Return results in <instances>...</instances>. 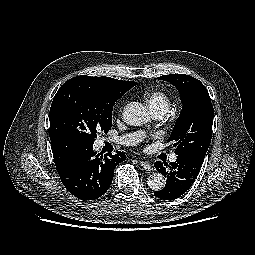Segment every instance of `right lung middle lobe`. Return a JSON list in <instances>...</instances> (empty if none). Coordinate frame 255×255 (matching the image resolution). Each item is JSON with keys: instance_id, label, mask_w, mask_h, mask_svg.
<instances>
[{"instance_id": "1", "label": "right lung middle lobe", "mask_w": 255, "mask_h": 255, "mask_svg": "<svg viewBox=\"0 0 255 255\" xmlns=\"http://www.w3.org/2000/svg\"><path fill=\"white\" fill-rule=\"evenodd\" d=\"M134 85L105 76L82 75L66 81L50 108V139L94 144L97 132L111 129L114 103Z\"/></svg>"}]
</instances>
